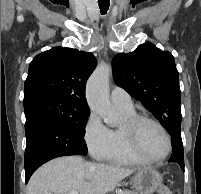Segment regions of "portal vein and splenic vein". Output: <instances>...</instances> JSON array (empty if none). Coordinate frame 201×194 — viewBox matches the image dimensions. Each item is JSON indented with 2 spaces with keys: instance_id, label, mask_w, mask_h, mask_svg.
<instances>
[{
  "instance_id": "obj_1",
  "label": "portal vein and splenic vein",
  "mask_w": 201,
  "mask_h": 194,
  "mask_svg": "<svg viewBox=\"0 0 201 194\" xmlns=\"http://www.w3.org/2000/svg\"><path fill=\"white\" fill-rule=\"evenodd\" d=\"M67 194H78V192H77V191H70V192L67 193Z\"/></svg>"
}]
</instances>
